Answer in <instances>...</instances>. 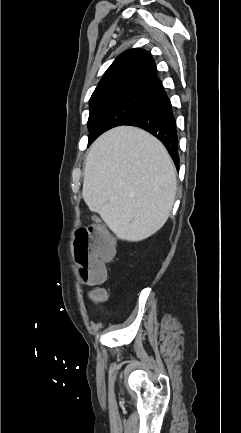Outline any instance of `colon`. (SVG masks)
I'll return each mask as SVG.
<instances>
[{
    "label": "colon",
    "instance_id": "5ec220e1",
    "mask_svg": "<svg viewBox=\"0 0 241 433\" xmlns=\"http://www.w3.org/2000/svg\"><path fill=\"white\" fill-rule=\"evenodd\" d=\"M92 228H81L76 233L74 255L77 263H74V272H82L86 282L99 284L106 278L104 263L110 260L114 253V242L108 232L102 228H96V235L92 236ZM106 293L95 290L92 297L102 299Z\"/></svg>",
    "mask_w": 241,
    "mask_h": 433
}]
</instances>
